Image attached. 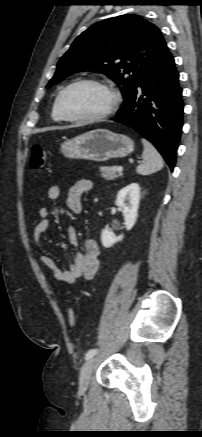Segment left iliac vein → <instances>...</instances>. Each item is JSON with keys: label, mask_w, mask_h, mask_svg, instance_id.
Masks as SVG:
<instances>
[{"label": "left iliac vein", "mask_w": 202, "mask_h": 437, "mask_svg": "<svg viewBox=\"0 0 202 437\" xmlns=\"http://www.w3.org/2000/svg\"><path fill=\"white\" fill-rule=\"evenodd\" d=\"M95 361L96 358L94 357L88 359L80 370L79 383L82 389H87L89 386Z\"/></svg>", "instance_id": "left-iliac-vein-1"}]
</instances>
